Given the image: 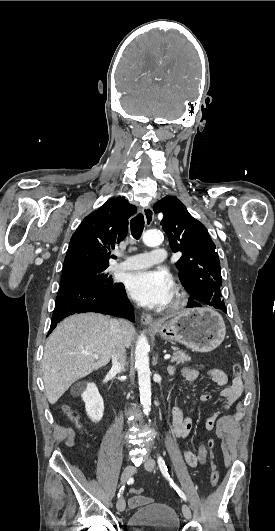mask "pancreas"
I'll use <instances>...</instances> for the list:
<instances>
[{"label": "pancreas", "mask_w": 275, "mask_h": 531, "mask_svg": "<svg viewBox=\"0 0 275 531\" xmlns=\"http://www.w3.org/2000/svg\"><path fill=\"white\" fill-rule=\"evenodd\" d=\"M173 353V357L171 359V363H176V365H183L185 361H191L189 355H187L186 351H179L178 347H171Z\"/></svg>", "instance_id": "pancreas-1"}]
</instances>
